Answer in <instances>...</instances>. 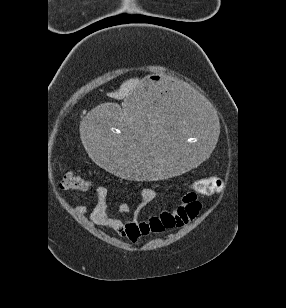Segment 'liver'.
I'll list each match as a JSON object with an SVG mask.
<instances>
[{"mask_svg": "<svg viewBox=\"0 0 286 308\" xmlns=\"http://www.w3.org/2000/svg\"><path fill=\"white\" fill-rule=\"evenodd\" d=\"M139 80L136 79H130L125 81L123 84H121L119 90L115 91L114 93H110L109 95L115 99H127L129 93L136 87ZM119 112V116L121 120H125L127 118V111H126V101L124 105V111L122 112L120 109H117ZM98 116H101L99 113Z\"/></svg>", "mask_w": 286, "mask_h": 308, "instance_id": "liver-1", "label": "liver"}]
</instances>
